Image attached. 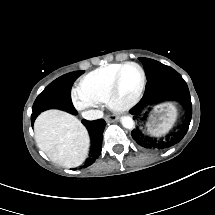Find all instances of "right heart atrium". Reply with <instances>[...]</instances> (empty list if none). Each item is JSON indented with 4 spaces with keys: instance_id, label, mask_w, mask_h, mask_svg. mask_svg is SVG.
<instances>
[{
    "instance_id": "1",
    "label": "right heart atrium",
    "mask_w": 215,
    "mask_h": 215,
    "mask_svg": "<svg viewBox=\"0 0 215 215\" xmlns=\"http://www.w3.org/2000/svg\"><path fill=\"white\" fill-rule=\"evenodd\" d=\"M73 104L84 116H91L90 103L78 92L73 94Z\"/></svg>"
}]
</instances>
